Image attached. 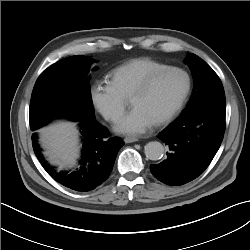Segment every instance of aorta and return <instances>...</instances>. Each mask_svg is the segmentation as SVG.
<instances>
[{
  "label": "aorta",
  "instance_id": "762f6f07",
  "mask_svg": "<svg viewBox=\"0 0 250 250\" xmlns=\"http://www.w3.org/2000/svg\"><path fill=\"white\" fill-rule=\"evenodd\" d=\"M145 155L150 160H159L164 155V147L160 142L152 141L146 144Z\"/></svg>",
  "mask_w": 250,
  "mask_h": 250
}]
</instances>
